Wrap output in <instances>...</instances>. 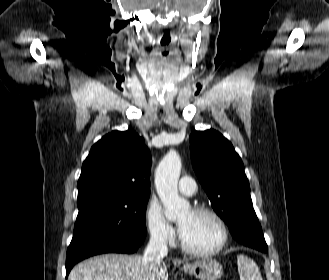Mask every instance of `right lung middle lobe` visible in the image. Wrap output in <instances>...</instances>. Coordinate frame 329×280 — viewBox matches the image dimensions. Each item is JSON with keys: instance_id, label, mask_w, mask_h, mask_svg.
Here are the masks:
<instances>
[{"instance_id": "dd1d6c3e", "label": "right lung middle lobe", "mask_w": 329, "mask_h": 280, "mask_svg": "<svg viewBox=\"0 0 329 280\" xmlns=\"http://www.w3.org/2000/svg\"><path fill=\"white\" fill-rule=\"evenodd\" d=\"M149 196L94 197L78 200L79 213L67 252L95 238L142 244Z\"/></svg>"}]
</instances>
